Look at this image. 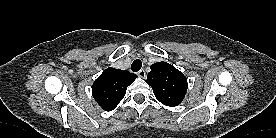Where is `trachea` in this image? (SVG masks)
Returning <instances> with one entry per match:
<instances>
[{
  "instance_id": "obj_1",
  "label": "trachea",
  "mask_w": 276,
  "mask_h": 138,
  "mask_svg": "<svg viewBox=\"0 0 276 138\" xmlns=\"http://www.w3.org/2000/svg\"><path fill=\"white\" fill-rule=\"evenodd\" d=\"M141 67H142V62L139 59H136L135 61H133L131 65V70L133 72H137L141 69Z\"/></svg>"
}]
</instances>
